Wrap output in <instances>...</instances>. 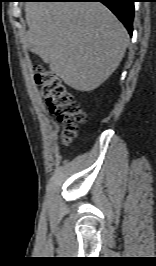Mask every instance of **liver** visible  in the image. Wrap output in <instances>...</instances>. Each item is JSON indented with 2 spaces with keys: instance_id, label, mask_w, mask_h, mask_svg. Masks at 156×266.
<instances>
[{
  "instance_id": "6515ba94",
  "label": "liver",
  "mask_w": 156,
  "mask_h": 266,
  "mask_svg": "<svg viewBox=\"0 0 156 266\" xmlns=\"http://www.w3.org/2000/svg\"><path fill=\"white\" fill-rule=\"evenodd\" d=\"M25 18V47L78 91H91L105 82L128 46L123 24L98 2H30Z\"/></svg>"
}]
</instances>
